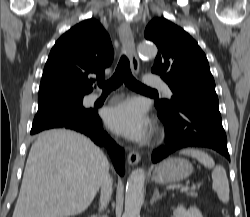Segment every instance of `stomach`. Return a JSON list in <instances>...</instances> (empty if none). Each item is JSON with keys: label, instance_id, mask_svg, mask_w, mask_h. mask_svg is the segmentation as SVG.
I'll return each instance as SVG.
<instances>
[{"label": "stomach", "instance_id": "stomach-1", "mask_svg": "<svg viewBox=\"0 0 250 217\" xmlns=\"http://www.w3.org/2000/svg\"><path fill=\"white\" fill-rule=\"evenodd\" d=\"M193 172L192 164L183 158H169L156 166L152 180L158 184L179 182Z\"/></svg>", "mask_w": 250, "mask_h": 217}]
</instances>
